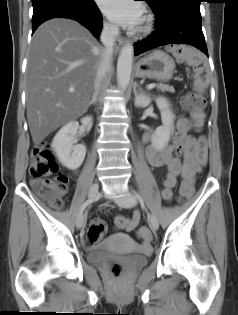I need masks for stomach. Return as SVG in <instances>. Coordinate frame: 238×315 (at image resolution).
Listing matches in <instances>:
<instances>
[{"label": "stomach", "mask_w": 238, "mask_h": 315, "mask_svg": "<svg viewBox=\"0 0 238 315\" xmlns=\"http://www.w3.org/2000/svg\"><path fill=\"white\" fill-rule=\"evenodd\" d=\"M174 69L172 57L164 51L155 50L137 62L135 72L139 78L168 81L173 77Z\"/></svg>", "instance_id": "0dacf381"}]
</instances>
